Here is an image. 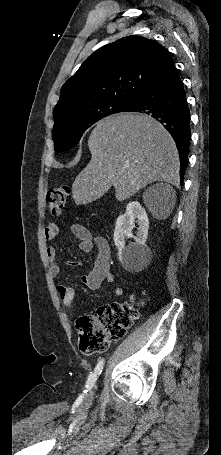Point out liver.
Wrapping results in <instances>:
<instances>
[{
    "instance_id": "obj_1",
    "label": "liver",
    "mask_w": 221,
    "mask_h": 455,
    "mask_svg": "<svg viewBox=\"0 0 221 455\" xmlns=\"http://www.w3.org/2000/svg\"><path fill=\"white\" fill-rule=\"evenodd\" d=\"M91 160L72 184L77 205L102 197L113 185L124 201L147 184L178 186L179 155L168 131L145 114L123 112L102 119L90 134Z\"/></svg>"
}]
</instances>
